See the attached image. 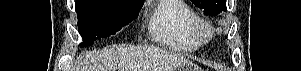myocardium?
<instances>
[{
  "label": "myocardium",
  "instance_id": "obj_1",
  "mask_svg": "<svg viewBox=\"0 0 301 71\" xmlns=\"http://www.w3.org/2000/svg\"><path fill=\"white\" fill-rule=\"evenodd\" d=\"M191 30L195 38L201 43H207L212 40L214 31L211 24L205 19L195 16L192 24Z\"/></svg>",
  "mask_w": 301,
  "mask_h": 71
}]
</instances>
